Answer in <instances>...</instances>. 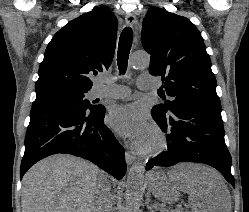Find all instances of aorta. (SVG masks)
Segmentation results:
<instances>
[{"label":"aorta","instance_id":"762f6f07","mask_svg":"<svg viewBox=\"0 0 249 212\" xmlns=\"http://www.w3.org/2000/svg\"><path fill=\"white\" fill-rule=\"evenodd\" d=\"M150 64V56L146 52H135L129 59V65L132 68H143ZM145 167L142 164L131 166L127 181L125 193V212H138L140 202L143 196Z\"/></svg>","mask_w":249,"mask_h":212}]
</instances>
